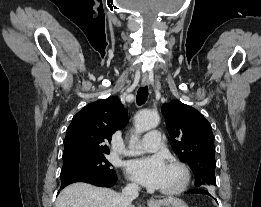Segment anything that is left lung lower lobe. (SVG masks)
I'll return each instance as SVG.
<instances>
[{"instance_id": "left-lung-lower-lobe-1", "label": "left lung lower lobe", "mask_w": 261, "mask_h": 207, "mask_svg": "<svg viewBox=\"0 0 261 207\" xmlns=\"http://www.w3.org/2000/svg\"><path fill=\"white\" fill-rule=\"evenodd\" d=\"M186 193H197V194H207L209 196H211L206 190H189Z\"/></svg>"}]
</instances>
